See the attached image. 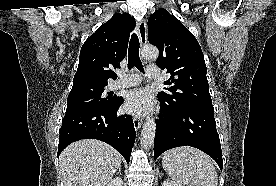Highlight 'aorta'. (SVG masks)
<instances>
[{
	"label": "aorta",
	"instance_id": "762f6f07",
	"mask_svg": "<svg viewBox=\"0 0 276 186\" xmlns=\"http://www.w3.org/2000/svg\"><path fill=\"white\" fill-rule=\"evenodd\" d=\"M141 56L146 60H156L159 56V51L156 47L147 46L141 51ZM156 123L151 117H147L141 131L140 143L143 149H149L155 138Z\"/></svg>",
	"mask_w": 276,
	"mask_h": 186
}]
</instances>
